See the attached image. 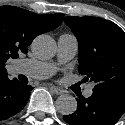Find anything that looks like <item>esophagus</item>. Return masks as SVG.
Returning a JSON list of instances; mask_svg holds the SVG:
<instances>
[{
	"label": "esophagus",
	"mask_w": 125,
	"mask_h": 125,
	"mask_svg": "<svg viewBox=\"0 0 125 125\" xmlns=\"http://www.w3.org/2000/svg\"><path fill=\"white\" fill-rule=\"evenodd\" d=\"M49 89L51 92H53L56 95H61L63 93V91L61 89H59L58 87H55L53 85H49Z\"/></svg>",
	"instance_id": "1"
}]
</instances>
